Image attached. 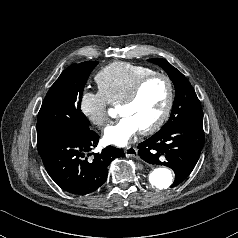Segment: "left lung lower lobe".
<instances>
[{"mask_svg":"<svg viewBox=\"0 0 238 238\" xmlns=\"http://www.w3.org/2000/svg\"><path fill=\"white\" fill-rule=\"evenodd\" d=\"M204 140L203 122H186L168 130H159L138 145V154L150 164L171 168L175 173L171 187H175L193 171Z\"/></svg>","mask_w":238,"mask_h":238,"instance_id":"1","label":"left lung lower lobe"}]
</instances>
